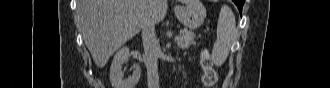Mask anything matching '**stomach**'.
I'll return each mask as SVG.
<instances>
[{
	"label": "stomach",
	"instance_id": "obj_1",
	"mask_svg": "<svg viewBox=\"0 0 330 88\" xmlns=\"http://www.w3.org/2000/svg\"><path fill=\"white\" fill-rule=\"evenodd\" d=\"M174 12L179 22L190 30L199 28L206 17V9L199 0L176 6Z\"/></svg>",
	"mask_w": 330,
	"mask_h": 88
}]
</instances>
